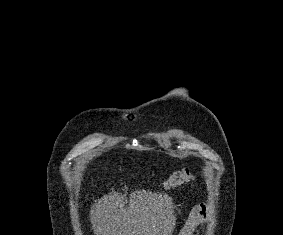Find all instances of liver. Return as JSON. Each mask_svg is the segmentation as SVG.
Returning a JSON list of instances; mask_svg holds the SVG:
<instances>
[{
    "instance_id": "6515ba94",
    "label": "liver",
    "mask_w": 283,
    "mask_h": 235,
    "mask_svg": "<svg viewBox=\"0 0 283 235\" xmlns=\"http://www.w3.org/2000/svg\"><path fill=\"white\" fill-rule=\"evenodd\" d=\"M173 213L168 195L136 190L128 201L112 191L92 206L90 221L95 235H170L176 220Z\"/></svg>"
}]
</instances>
